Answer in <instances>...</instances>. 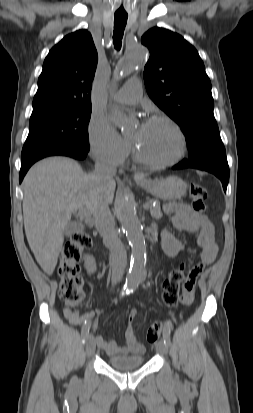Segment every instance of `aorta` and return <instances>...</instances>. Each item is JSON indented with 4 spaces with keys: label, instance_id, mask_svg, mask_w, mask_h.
<instances>
[{
    "label": "aorta",
    "instance_id": "762f6f07",
    "mask_svg": "<svg viewBox=\"0 0 253 413\" xmlns=\"http://www.w3.org/2000/svg\"><path fill=\"white\" fill-rule=\"evenodd\" d=\"M146 56L147 50L142 45H136L129 49L125 57L117 63L114 78L107 86L108 90H112L121 78L129 75L138 63L145 60ZM109 116L122 130L129 128V119L118 106L111 105L109 107ZM117 213L132 250L130 269L126 277L125 288L127 290H134L146 277V245L143 227L137 217L133 203L127 198L119 200Z\"/></svg>",
    "mask_w": 253,
    "mask_h": 413
}]
</instances>
